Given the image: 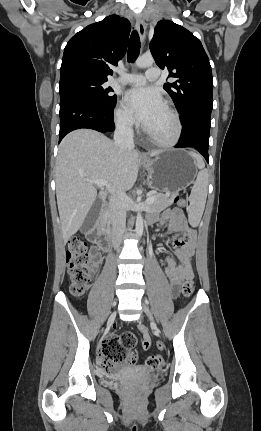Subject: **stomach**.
Segmentation results:
<instances>
[{"label": "stomach", "instance_id": "0dacf381", "mask_svg": "<svg viewBox=\"0 0 261 431\" xmlns=\"http://www.w3.org/2000/svg\"><path fill=\"white\" fill-rule=\"evenodd\" d=\"M141 162L148 171V186L154 190L180 191L198 175L196 161L183 150L160 151L154 158H142Z\"/></svg>", "mask_w": 261, "mask_h": 431}]
</instances>
